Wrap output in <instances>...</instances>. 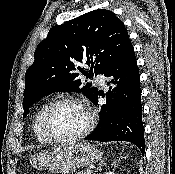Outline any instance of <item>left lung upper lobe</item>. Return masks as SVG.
<instances>
[{
  "mask_svg": "<svg viewBox=\"0 0 175 174\" xmlns=\"http://www.w3.org/2000/svg\"><path fill=\"white\" fill-rule=\"evenodd\" d=\"M131 43L123 22L109 10L98 9L51 28L25 75L23 117L37 100L53 92L80 91L91 101L98 90L81 87L77 70L91 78L104 74ZM83 65L90 67L89 73Z\"/></svg>",
  "mask_w": 175,
  "mask_h": 174,
  "instance_id": "obj_1",
  "label": "left lung upper lobe"
}]
</instances>
